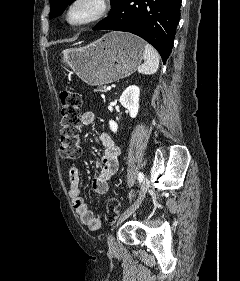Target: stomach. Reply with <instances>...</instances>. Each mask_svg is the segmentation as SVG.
Segmentation results:
<instances>
[{
  "instance_id": "obj_1",
  "label": "stomach",
  "mask_w": 240,
  "mask_h": 281,
  "mask_svg": "<svg viewBox=\"0 0 240 281\" xmlns=\"http://www.w3.org/2000/svg\"><path fill=\"white\" fill-rule=\"evenodd\" d=\"M145 43L129 33L111 32L85 47L63 52L62 62L89 85H103L134 73Z\"/></svg>"
}]
</instances>
